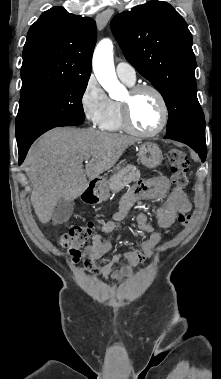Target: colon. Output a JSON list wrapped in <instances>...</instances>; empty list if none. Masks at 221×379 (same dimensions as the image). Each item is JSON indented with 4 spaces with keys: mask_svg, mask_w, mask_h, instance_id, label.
<instances>
[{
    "mask_svg": "<svg viewBox=\"0 0 221 379\" xmlns=\"http://www.w3.org/2000/svg\"><path fill=\"white\" fill-rule=\"evenodd\" d=\"M168 161L172 172V183L179 188H183L188 183L189 160L185 152L179 149H171L168 152ZM190 216L186 213L180 214L179 222L186 225ZM91 235V226L74 225L59 236L61 245L70 249V254L74 261H79L82 251L86 249Z\"/></svg>",
    "mask_w": 221,
    "mask_h": 379,
    "instance_id": "colon-1",
    "label": "colon"
}]
</instances>
